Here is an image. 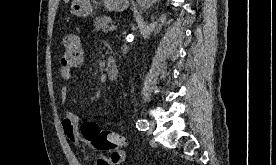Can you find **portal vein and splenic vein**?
I'll use <instances>...</instances> for the list:
<instances>
[{"mask_svg": "<svg viewBox=\"0 0 276 165\" xmlns=\"http://www.w3.org/2000/svg\"><path fill=\"white\" fill-rule=\"evenodd\" d=\"M108 29L110 30V31H114V30H116L117 29V27L115 26V25H110L109 27H108Z\"/></svg>", "mask_w": 276, "mask_h": 165, "instance_id": "portal-vein-and-splenic-vein-1", "label": "portal vein and splenic vein"}]
</instances>
